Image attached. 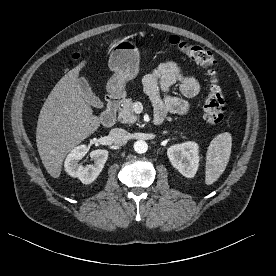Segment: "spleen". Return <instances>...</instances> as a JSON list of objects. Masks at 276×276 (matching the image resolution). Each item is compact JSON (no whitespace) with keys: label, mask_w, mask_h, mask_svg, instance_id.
I'll return each mask as SVG.
<instances>
[{"label":"spleen","mask_w":276,"mask_h":276,"mask_svg":"<svg viewBox=\"0 0 276 276\" xmlns=\"http://www.w3.org/2000/svg\"><path fill=\"white\" fill-rule=\"evenodd\" d=\"M232 137L228 132L218 134L211 142L206 153L205 183L213 184L222 175L229 162Z\"/></svg>","instance_id":"spleen-1"}]
</instances>
